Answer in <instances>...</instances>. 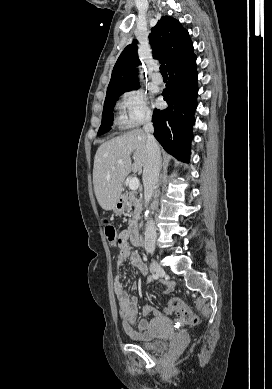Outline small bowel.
I'll return each instance as SVG.
<instances>
[{
    "label": "small bowel",
    "mask_w": 272,
    "mask_h": 389,
    "mask_svg": "<svg viewBox=\"0 0 272 389\" xmlns=\"http://www.w3.org/2000/svg\"><path fill=\"white\" fill-rule=\"evenodd\" d=\"M117 245L119 247V252L116 257L117 265L120 267L124 263L130 262L139 269L143 276H145L147 274V266L141 259L139 252L133 250L130 246L126 231L120 233ZM113 287L119 306L122 325L126 334L133 340L151 339L153 337V333L151 331V322L148 319H141L138 321V297H130L125 291L123 284L118 277L115 279ZM131 288L133 290L137 289L138 284L133 283ZM171 289V286L167 284L164 293H170ZM143 313L145 315L151 314L155 318H159L161 316L158 310L149 305L143 307ZM135 325L137 328H134Z\"/></svg>",
    "instance_id": "1"
}]
</instances>
